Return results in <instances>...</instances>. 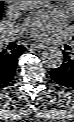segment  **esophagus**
Masks as SVG:
<instances>
[{"label":"esophagus","mask_w":74,"mask_h":122,"mask_svg":"<svg viewBox=\"0 0 74 122\" xmlns=\"http://www.w3.org/2000/svg\"><path fill=\"white\" fill-rule=\"evenodd\" d=\"M27 48L28 49H35V50H42V49L46 48V46L41 43H33V44L28 45Z\"/></svg>","instance_id":"34e87169"}]
</instances>
